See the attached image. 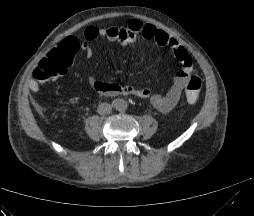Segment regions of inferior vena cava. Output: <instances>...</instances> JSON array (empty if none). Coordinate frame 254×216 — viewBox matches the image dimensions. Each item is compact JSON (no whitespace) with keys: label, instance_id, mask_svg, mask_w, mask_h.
Here are the masks:
<instances>
[{"label":"inferior vena cava","instance_id":"1","mask_svg":"<svg viewBox=\"0 0 254 216\" xmlns=\"http://www.w3.org/2000/svg\"><path fill=\"white\" fill-rule=\"evenodd\" d=\"M112 111V106L108 103H101L99 104L98 108H97V112L100 115H107L110 114Z\"/></svg>","mask_w":254,"mask_h":216}]
</instances>
